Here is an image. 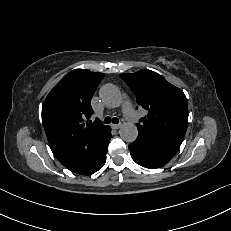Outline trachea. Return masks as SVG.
I'll list each match as a JSON object with an SVG mask.
<instances>
[{"mask_svg": "<svg viewBox=\"0 0 231 231\" xmlns=\"http://www.w3.org/2000/svg\"><path fill=\"white\" fill-rule=\"evenodd\" d=\"M113 123V124H118L119 123V120H118V118H116V117H113V118H111V117H109V116H107L105 119H104V123L105 124H109V123Z\"/></svg>", "mask_w": 231, "mask_h": 231, "instance_id": "obj_1", "label": "trachea"}]
</instances>
